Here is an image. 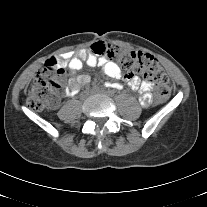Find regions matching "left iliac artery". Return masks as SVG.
Masks as SVG:
<instances>
[{
	"label": "left iliac artery",
	"mask_w": 207,
	"mask_h": 207,
	"mask_svg": "<svg viewBox=\"0 0 207 207\" xmlns=\"http://www.w3.org/2000/svg\"><path fill=\"white\" fill-rule=\"evenodd\" d=\"M112 87H114V88H116V89H119V90L123 88V86L120 85V84H118V83H114V84H112Z\"/></svg>",
	"instance_id": "obj_1"
}]
</instances>
